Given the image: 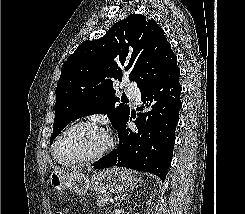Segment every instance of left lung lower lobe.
Listing matches in <instances>:
<instances>
[{
	"mask_svg": "<svg viewBox=\"0 0 245 214\" xmlns=\"http://www.w3.org/2000/svg\"><path fill=\"white\" fill-rule=\"evenodd\" d=\"M177 63L157 83L141 91L145 108L135 120L138 132L126 128L130 116L118 135L119 145L94 163L95 169L110 166L149 172L165 180L173 156L175 129L178 124L181 86Z\"/></svg>",
	"mask_w": 245,
	"mask_h": 214,
	"instance_id": "left-lung-lower-lobe-1",
	"label": "left lung lower lobe"
}]
</instances>
